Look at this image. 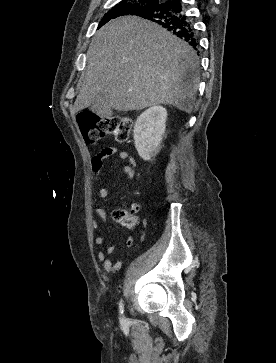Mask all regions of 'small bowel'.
<instances>
[{"mask_svg": "<svg viewBox=\"0 0 276 363\" xmlns=\"http://www.w3.org/2000/svg\"><path fill=\"white\" fill-rule=\"evenodd\" d=\"M116 156L120 160L128 161V164L122 166V171L124 177L126 179H131L134 176L136 161L133 156L124 150H120L115 146H108L99 151L96 155H94L91 159V170L93 176L97 182L95 194L100 198H105L108 195V191L103 184V167L104 161L111 157ZM139 211V205L137 203H132L130 205V213L135 214ZM96 218L92 219L91 225L94 229H98L102 222L106 218V211L102 207H95ZM133 242V237L129 236L126 240V246L130 247ZM95 243L97 245H102L104 243V238L102 236H97L95 238ZM116 247L114 245H110L106 247V249L98 252L97 259L103 264V269L106 272H115L121 269L123 266V259H117L116 261H112L110 259V255L114 253Z\"/></svg>", "mask_w": 276, "mask_h": 363, "instance_id": "1", "label": "small bowel"}]
</instances>
